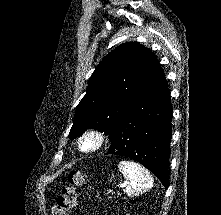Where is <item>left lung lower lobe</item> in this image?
I'll list each match as a JSON object with an SVG mask.
<instances>
[{
	"label": "left lung lower lobe",
	"mask_w": 221,
	"mask_h": 215,
	"mask_svg": "<svg viewBox=\"0 0 221 215\" xmlns=\"http://www.w3.org/2000/svg\"><path fill=\"white\" fill-rule=\"evenodd\" d=\"M172 108L162 70L119 121L107 154L130 157L169 185Z\"/></svg>",
	"instance_id": "1"
}]
</instances>
